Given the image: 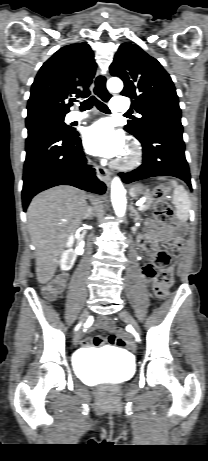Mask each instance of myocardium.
<instances>
[{
    "instance_id": "obj_1",
    "label": "myocardium",
    "mask_w": 208,
    "mask_h": 461,
    "mask_svg": "<svg viewBox=\"0 0 208 461\" xmlns=\"http://www.w3.org/2000/svg\"><path fill=\"white\" fill-rule=\"evenodd\" d=\"M141 155L139 145L131 143L127 146L124 156L115 162V166L122 170L133 169L139 165Z\"/></svg>"
}]
</instances>
